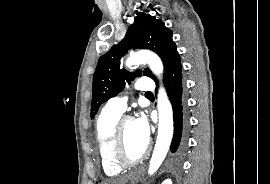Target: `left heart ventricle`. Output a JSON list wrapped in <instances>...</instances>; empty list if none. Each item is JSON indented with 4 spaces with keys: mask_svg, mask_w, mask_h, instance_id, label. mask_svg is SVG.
<instances>
[{
    "mask_svg": "<svg viewBox=\"0 0 270 184\" xmlns=\"http://www.w3.org/2000/svg\"><path fill=\"white\" fill-rule=\"evenodd\" d=\"M124 142L127 156L137 158L144 152L148 141L140 135L135 121H128L124 126Z\"/></svg>",
    "mask_w": 270,
    "mask_h": 184,
    "instance_id": "left-heart-ventricle-1",
    "label": "left heart ventricle"
}]
</instances>
